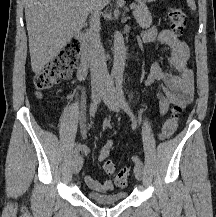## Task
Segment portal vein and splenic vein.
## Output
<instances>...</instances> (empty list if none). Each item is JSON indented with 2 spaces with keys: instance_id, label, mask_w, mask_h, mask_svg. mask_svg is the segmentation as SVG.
<instances>
[{
  "instance_id": "portal-vein-and-splenic-vein-1",
  "label": "portal vein and splenic vein",
  "mask_w": 216,
  "mask_h": 217,
  "mask_svg": "<svg viewBox=\"0 0 216 217\" xmlns=\"http://www.w3.org/2000/svg\"><path fill=\"white\" fill-rule=\"evenodd\" d=\"M130 8H131V9H134V8H135V5H133V4L130 5Z\"/></svg>"
}]
</instances>
